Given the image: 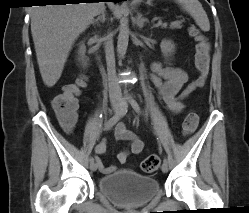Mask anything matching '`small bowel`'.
Here are the masks:
<instances>
[{
    "instance_id": "obj_1",
    "label": "small bowel",
    "mask_w": 249,
    "mask_h": 213,
    "mask_svg": "<svg viewBox=\"0 0 249 213\" xmlns=\"http://www.w3.org/2000/svg\"><path fill=\"white\" fill-rule=\"evenodd\" d=\"M151 80L158 90L159 99L172 114H179L185 108L184 99H186L197 87L196 81L190 82L185 88L183 86L188 81L187 73L178 67L164 68L158 62L152 64ZM76 123V121H75ZM73 125L61 121L64 129L71 131ZM114 136L117 140L128 143L129 148L118 153L117 160L124 164L130 154L139 155L144 148L142 140L130 131L124 123H118L114 128ZM96 154V164L100 171L109 174L115 170L114 166L103 164L100 156L106 152V143L101 141L94 148Z\"/></svg>"
}]
</instances>
